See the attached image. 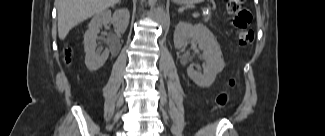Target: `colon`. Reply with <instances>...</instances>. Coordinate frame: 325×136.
Here are the masks:
<instances>
[{
  "instance_id": "obj_1",
  "label": "colon",
  "mask_w": 325,
  "mask_h": 136,
  "mask_svg": "<svg viewBox=\"0 0 325 136\" xmlns=\"http://www.w3.org/2000/svg\"><path fill=\"white\" fill-rule=\"evenodd\" d=\"M244 0H228L227 11L232 16L231 24L235 28V34L238 44L241 47L250 46L254 40V33L249 28L251 22V14L242 7ZM235 80H231L230 84L235 85ZM230 103V96L223 93L217 98L216 110L227 107Z\"/></svg>"
}]
</instances>
